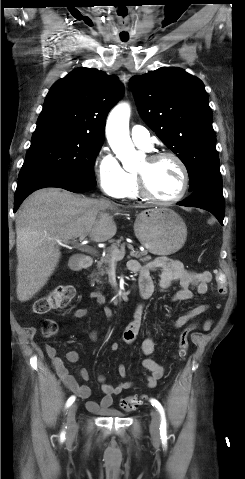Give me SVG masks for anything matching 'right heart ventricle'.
Wrapping results in <instances>:
<instances>
[{
  "label": "right heart ventricle",
  "mask_w": 245,
  "mask_h": 479,
  "mask_svg": "<svg viewBox=\"0 0 245 479\" xmlns=\"http://www.w3.org/2000/svg\"><path fill=\"white\" fill-rule=\"evenodd\" d=\"M127 183L122 192V198H139L140 195L137 189V176L134 172H126Z\"/></svg>",
  "instance_id": "1"
}]
</instances>
